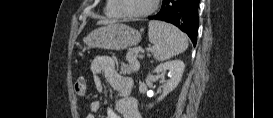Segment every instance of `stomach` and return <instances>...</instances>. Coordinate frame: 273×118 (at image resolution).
I'll return each mask as SVG.
<instances>
[{
    "mask_svg": "<svg viewBox=\"0 0 273 118\" xmlns=\"http://www.w3.org/2000/svg\"><path fill=\"white\" fill-rule=\"evenodd\" d=\"M141 34L138 30L121 23H111L92 31L84 38L91 48L122 50L138 44Z\"/></svg>",
    "mask_w": 273,
    "mask_h": 118,
    "instance_id": "obj_1",
    "label": "stomach"
}]
</instances>
